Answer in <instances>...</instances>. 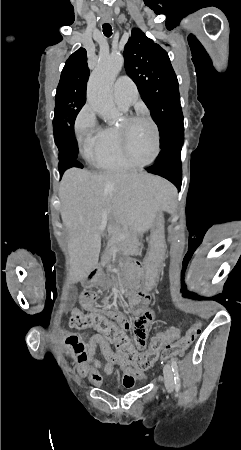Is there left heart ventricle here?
Instances as JSON below:
<instances>
[{"label":"left heart ventricle","mask_w":241,"mask_h":450,"mask_svg":"<svg viewBox=\"0 0 241 450\" xmlns=\"http://www.w3.org/2000/svg\"><path fill=\"white\" fill-rule=\"evenodd\" d=\"M135 120L128 123L124 144V151L129 152L126 161L131 169H138L140 165L152 159L151 150H153L152 140L154 139L152 134L153 130H157L148 114H138Z\"/></svg>","instance_id":"obj_1"}]
</instances>
